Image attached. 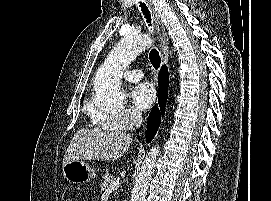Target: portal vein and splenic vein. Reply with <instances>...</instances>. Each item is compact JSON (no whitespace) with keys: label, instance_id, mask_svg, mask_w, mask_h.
Here are the masks:
<instances>
[{"label":"portal vein and splenic vein","instance_id":"portal-vein-and-splenic-vein-1","mask_svg":"<svg viewBox=\"0 0 271 201\" xmlns=\"http://www.w3.org/2000/svg\"><path fill=\"white\" fill-rule=\"evenodd\" d=\"M120 186V182L119 180H114L110 183L109 187L107 188V190H114L116 188H118Z\"/></svg>","mask_w":271,"mask_h":201}]
</instances>
